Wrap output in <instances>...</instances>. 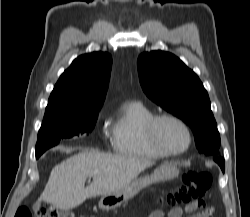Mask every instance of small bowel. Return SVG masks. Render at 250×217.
Segmentation results:
<instances>
[{
	"label": "small bowel",
	"instance_id": "c3829d8e",
	"mask_svg": "<svg viewBox=\"0 0 250 217\" xmlns=\"http://www.w3.org/2000/svg\"><path fill=\"white\" fill-rule=\"evenodd\" d=\"M184 211L189 213L190 217H210L208 213L200 212L199 208L195 205H188L184 210L180 207H175L168 212L167 217H182ZM149 217H165V212L154 210Z\"/></svg>",
	"mask_w": 250,
	"mask_h": 217
}]
</instances>
